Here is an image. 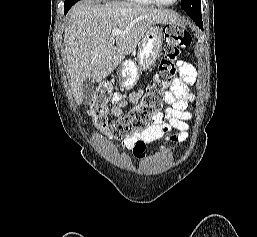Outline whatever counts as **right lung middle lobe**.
Returning a JSON list of instances; mask_svg holds the SVG:
<instances>
[{
	"mask_svg": "<svg viewBox=\"0 0 257 237\" xmlns=\"http://www.w3.org/2000/svg\"><path fill=\"white\" fill-rule=\"evenodd\" d=\"M78 1L79 0H65V2H64V9L71 8L72 5H74Z\"/></svg>",
	"mask_w": 257,
	"mask_h": 237,
	"instance_id": "right-lung-middle-lobe-1",
	"label": "right lung middle lobe"
}]
</instances>
